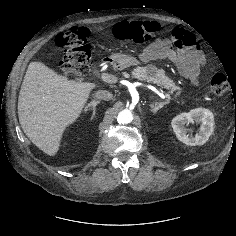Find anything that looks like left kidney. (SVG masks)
Listing matches in <instances>:
<instances>
[{
  "instance_id": "1",
  "label": "left kidney",
  "mask_w": 236,
  "mask_h": 236,
  "mask_svg": "<svg viewBox=\"0 0 236 236\" xmlns=\"http://www.w3.org/2000/svg\"><path fill=\"white\" fill-rule=\"evenodd\" d=\"M198 123L200 127L195 136L189 134L186 126L190 123ZM171 126L179 141L189 146L203 145L213 134L214 116L205 108H195L188 113H181L174 117Z\"/></svg>"
}]
</instances>
